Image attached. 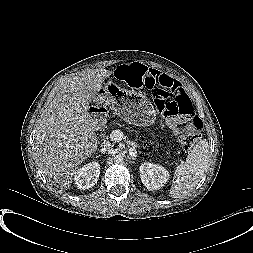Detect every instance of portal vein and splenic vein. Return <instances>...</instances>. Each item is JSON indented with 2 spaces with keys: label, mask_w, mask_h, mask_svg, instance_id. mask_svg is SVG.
Instances as JSON below:
<instances>
[{
  "label": "portal vein and splenic vein",
  "mask_w": 253,
  "mask_h": 253,
  "mask_svg": "<svg viewBox=\"0 0 253 253\" xmlns=\"http://www.w3.org/2000/svg\"><path fill=\"white\" fill-rule=\"evenodd\" d=\"M123 138V133L120 130H114L111 134V139L115 141H120Z\"/></svg>",
  "instance_id": "obj_1"
}]
</instances>
